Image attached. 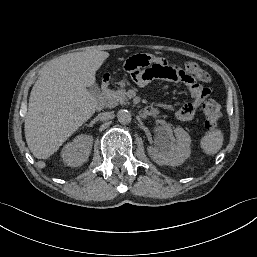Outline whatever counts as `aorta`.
<instances>
[{
    "instance_id": "aorta-1",
    "label": "aorta",
    "mask_w": 257,
    "mask_h": 257,
    "mask_svg": "<svg viewBox=\"0 0 257 257\" xmlns=\"http://www.w3.org/2000/svg\"><path fill=\"white\" fill-rule=\"evenodd\" d=\"M117 119L122 124H129L132 120L131 113L126 109H120L117 112Z\"/></svg>"
}]
</instances>
